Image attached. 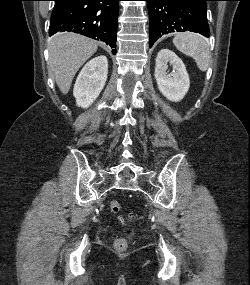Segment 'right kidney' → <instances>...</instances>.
Listing matches in <instances>:
<instances>
[{
	"label": "right kidney",
	"instance_id": "obj_1",
	"mask_svg": "<svg viewBox=\"0 0 250 285\" xmlns=\"http://www.w3.org/2000/svg\"><path fill=\"white\" fill-rule=\"evenodd\" d=\"M108 74V61L104 55L91 59L79 73L73 95L79 107L87 108L104 88Z\"/></svg>",
	"mask_w": 250,
	"mask_h": 285
}]
</instances>
